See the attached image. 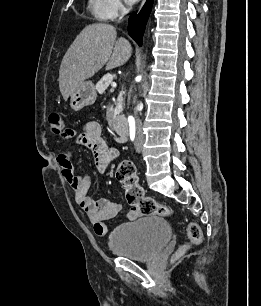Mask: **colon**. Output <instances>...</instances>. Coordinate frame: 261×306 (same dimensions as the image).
I'll return each instance as SVG.
<instances>
[{"label": "colon", "instance_id": "5ec220e1", "mask_svg": "<svg viewBox=\"0 0 261 306\" xmlns=\"http://www.w3.org/2000/svg\"><path fill=\"white\" fill-rule=\"evenodd\" d=\"M50 130L53 134L68 137L70 130L66 128L63 116L59 112H53L49 116ZM116 179L124 186L127 202L142 215L168 216L170 209L158 203L154 198L145 194L144 189L138 183L136 169L131 161H121L115 171ZM202 232L196 223H190L187 227V243L182 246L176 256H180L189 246L200 243Z\"/></svg>", "mask_w": 261, "mask_h": 306}]
</instances>
